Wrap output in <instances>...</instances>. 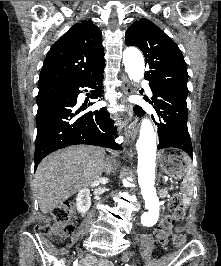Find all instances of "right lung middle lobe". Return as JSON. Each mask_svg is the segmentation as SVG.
Segmentation results:
<instances>
[{
    "label": "right lung middle lobe",
    "mask_w": 221,
    "mask_h": 266,
    "mask_svg": "<svg viewBox=\"0 0 221 266\" xmlns=\"http://www.w3.org/2000/svg\"><path fill=\"white\" fill-rule=\"evenodd\" d=\"M69 87H64V86H57V85H47V86H42L39 87V92L37 95V104L40 105L49 98L64 92L67 90Z\"/></svg>",
    "instance_id": "obj_1"
}]
</instances>
